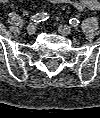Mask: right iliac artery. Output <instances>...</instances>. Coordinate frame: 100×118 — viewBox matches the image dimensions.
Returning a JSON list of instances; mask_svg holds the SVG:
<instances>
[{"label": "right iliac artery", "mask_w": 100, "mask_h": 118, "mask_svg": "<svg viewBox=\"0 0 100 118\" xmlns=\"http://www.w3.org/2000/svg\"><path fill=\"white\" fill-rule=\"evenodd\" d=\"M48 18H49V16L47 13L41 12V13H37L34 16H32L31 20L33 22L39 23V22L47 20Z\"/></svg>", "instance_id": "1"}]
</instances>
